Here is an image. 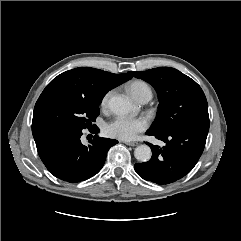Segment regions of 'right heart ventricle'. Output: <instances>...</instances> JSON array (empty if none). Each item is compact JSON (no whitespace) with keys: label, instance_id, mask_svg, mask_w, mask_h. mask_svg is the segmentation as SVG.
Masks as SVG:
<instances>
[{"label":"right heart ventricle","instance_id":"1","mask_svg":"<svg viewBox=\"0 0 241 241\" xmlns=\"http://www.w3.org/2000/svg\"><path fill=\"white\" fill-rule=\"evenodd\" d=\"M127 90L129 94L136 100L138 101L139 99L143 97H152V89L143 80H135L132 81L128 84Z\"/></svg>","mask_w":241,"mask_h":241}]
</instances>
